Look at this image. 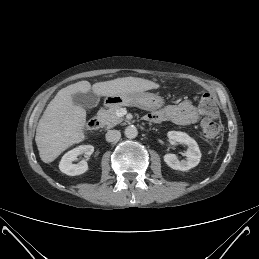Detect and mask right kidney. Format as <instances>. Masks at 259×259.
I'll use <instances>...</instances> for the list:
<instances>
[{
	"mask_svg": "<svg viewBox=\"0 0 259 259\" xmlns=\"http://www.w3.org/2000/svg\"><path fill=\"white\" fill-rule=\"evenodd\" d=\"M93 152L94 147L92 145H80L68 151L64 154L59 163L60 171L69 176H76L85 173L88 170V164L86 160L89 159ZM82 154H84L86 160H82L77 164H73V161H75L77 157Z\"/></svg>",
	"mask_w": 259,
	"mask_h": 259,
	"instance_id": "right-kidney-1",
	"label": "right kidney"
}]
</instances>
